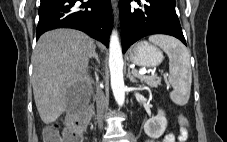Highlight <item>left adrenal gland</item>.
<instances>
[{"label":"left adrenal gland","instance_id":"1","mask_svg":"<svg viewBox=\"0 0 227 142\" xmlns=\"http://www.w3.org/2000/svg\"><path fill=\"white\" fill-rule=\"evenodd\" d=\"M128 77H129V80L132 82V83H137L138 81L134 78V76L132 75L130 69L128 70Z\"/></svg>","mask_w":227,"mask_h":142}]
</instances>
